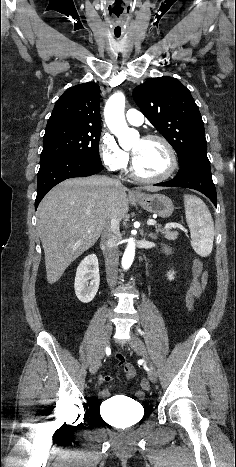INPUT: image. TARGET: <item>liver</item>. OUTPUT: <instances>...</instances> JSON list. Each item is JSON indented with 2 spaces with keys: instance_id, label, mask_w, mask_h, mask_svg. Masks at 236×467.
<instances>
[{
  "instance_id": "6515ba94",
  "label": "liver",
  "mask_w": 236,
  "mask_h": 467,
  "mask_svg": "<svg viewBox=\"0 0 236 467\" xmlns=\"http://www.w3.org/2000/svg\"><path fill=\"white\" fill-rule=\"evenodd\" d=\"M126 191L110 178L90 176L67 179L43 198L37 210V228L49 284L56 283L67 267L97 242L113 217L120 222L127 216Z\"/></svg>"
}]
</instances>
